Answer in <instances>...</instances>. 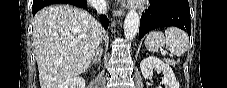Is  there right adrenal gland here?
Wrapping results in <instances>:
<instances>
[{
	"label": "right adrenal gland",
	"mask_w": 227,
	"mask_h": 88,
	"mask_svg": "<svg viewBox=\"0 0 227 88\" xmlns=\"http://www.w3.org/2000/svg\"><path fill=\"white\" fill-rule=\"evenodd\" d=\"M101 58H102V51L99 50V52L96 53V56L93 59L91 65H93V64H99L101 62Z\"/></svg>",
	"instance_id": "right-adrenal-gland-1"
}]
</instances>
